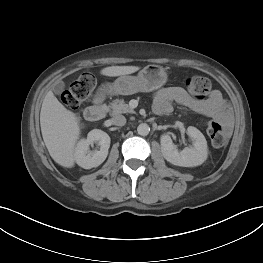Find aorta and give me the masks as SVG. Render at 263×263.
I'll use <instances>...</instances> for the list:
<instances>
[{
	"label": "aorta",
	"mask_w": 263,
	"mask_h": 263,
	"mask_svg": "<svg viewBox=\"0 0 263 263\" xmlns=\"http://www.w3.org/2000/svg\"><path fill=\"white\" fill-rule=\"evenodd\" d=\"M137 132L141 136H147L149 134V132H150V127L146 123H141L137 127Z\"/></svg>",
	"instance_id": "762f6f07"
}]
</instances>
